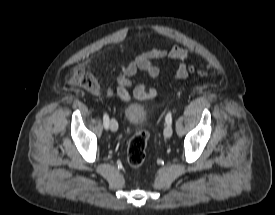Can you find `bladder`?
<instances>
[{"instance_id":"1","label":"bladder","mask_w":275,"mask_h":215,"mask_svg":"<svg viewBox=\"0 0 275 215\" xmlns=\"http://www.w3.org/2000/svg\"><path fill=\"white\" fill-rule=\"evenodd\" d=\"M148 115L147 109L138 103L130 102L124 108V116L128 123L139 125L143 123Z\"/></svg>"}]
</instances>
